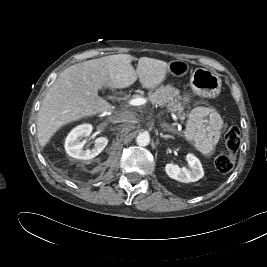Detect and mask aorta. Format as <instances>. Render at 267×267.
<instances>
[{
    "instance_id": "762f6f07",
    "label": "aorta",
    "mask_w": 267,
    "mask_h": 267,
    "mask_svg": "<svg viewBox=\"0 0 267 267\" xmlns=\"http://www.w3.org/2000/svg\"><path fill=\"white\" fill-rule=\"evenodd\" d=\"M136 142L139 146H147L150 143V136L147 132L140 133L136 137Z\"/></svg>"
}]
</instances>
